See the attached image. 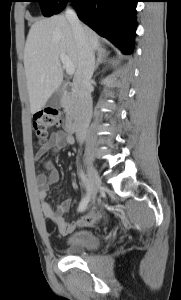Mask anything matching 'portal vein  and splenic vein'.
Listing matches in <instances>:
<instances>
[{
    "instance_id": "1",
    "label": "portal vein and splenic vein",
    "mask_w": 181,
    "mask_h": 300,
    "mask_svg": "<svg viewBox=\"0 0 181 300\" xmlns=\"http://www.w3.org/2000/svg\"><path fill=\"white\" fill-rule=\"evenodd\" d=\"M60 60L66 69V73L68 75H73L75 72V67H74L72 61L65 54L60 55Z\"/></svg>"
}]
</instances>
